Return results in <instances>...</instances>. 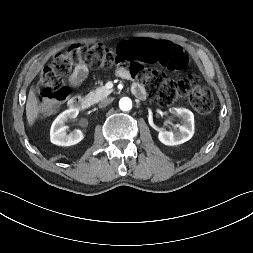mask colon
I'll use <instances>...</instances> for the list:
<instances>
[{"label":"colon","instance_id":"5ec220e1","mask_svg":"<svg viewBox=\"0 0 253 253\" xmlns=\"http://www.w3.org/2000/svg\"><path fill=\"white\" fill-rule=\"evenodd\" d=\"M160 66L164 70L184 71L190 65V56L180 46L153 37L125 40L116 48L96 45H74L56 54L40 76L39 108L49 114L68 97L64 77L78 64L92 68L119 66L130 72L147 88L149 94L162 105H169L181 97H187L190 105L199 113L213 109L214 100L208 88L199 82L195 74L180 79H170L164 73L146 69Z\"/></svg>","mask_w":253,"mask_h":253}]
</instances>
